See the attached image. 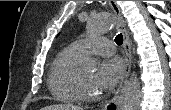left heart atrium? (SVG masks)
<instances>
[{"mask_svg": "<svg viewBox=\"0 0 171 110\" xmlns=\"http://www.w3.org/2000/svg\"><path fill=\"white\" fill-rule=\"evenodd\" d=\"M124 71V64L119 58L104 60L94 74V85L99 91L112 89L120 80Z\"/></svg>", "mask_w": 171, "mask_h": 110, "instance_id": "39dd6f15", "label": "left heart atrium"}]
</instances>
